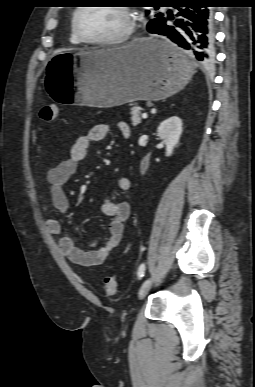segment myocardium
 I'll list each match as a JSON object with an SVG mask.
<instances>
[{
	"label": "myocardium",
	"instance_id": "myocardium-1",
	"mask_svg": "<svg viewBox=\"0 0 255 387\" xmlns=\"http://www.w3.org/2000/svg\"><path fill=\"white\" fill-rule=\"evenodd\" d=\"M86 5L79 6L78 8L75 9L73 16H72V21H71V26L72 30L75 34V36L85 44H90V45H117L124 43L128 41L131 36L134 33L135 30V23H136V16L134 12L131 10V8L123 5H116L112 6L117 8L125 17L126 19V26L124 30L119 33L116 36L109 37V38H103V39H92L87 36H85L82 31L79 28L78 25V16L82 10H84Z\"/></svg>",
	"mask_w": 255,
	"mask_h": 387
}]
</instances>
